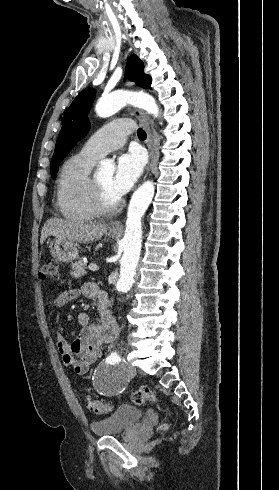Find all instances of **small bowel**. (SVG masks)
<instances>
[{"label": "small bowel", "mask_w": 279, "mask_h": 490, "mask_svg": "<svg viewBox=\"0 0 279 490\" xmlns=\"http://www.w3.org/2000/svg\"><path fill=\"white\" fill-rule=\"evenodd\" d=\"M80 296L96 299L99 322H94L89 313L80 312L77 322L81 329L77 337L68 341L57 333L56 339L63 364L77 374H85L100 356L102 347L117 339L119 324L107 294L94 284L62 291L49 301L48 306L59 309Z\"/></svg>", "instance_id": "1"}]
</instances>
